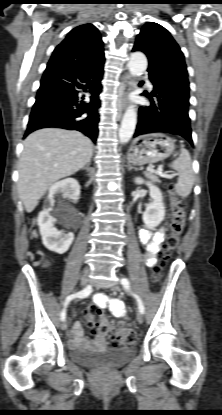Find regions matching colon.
Here are the masks:
<instances>
[{
	"label": "colon",
	"instance_id": "1",
	"mask_svg": "<svg viewBox=\"0 0 222 415\" xmlns=\"http://www.w3.org/2000/svg\"><path fill=\"white\" fill-rule=\"evenodd\" d=\"M173 220L170 224L168 237L165 243L161 261L152 268L153 279L158 280L162 269L172 257L180 243L181 235L185 228L187 216V202L185 198L173 195ZM85 317L92 333L106 334L111 346L118 347L123 344L135 343L139 339L137 330H117L113 328L103 317L101 310L91 305L85 310Z\"/></svg>",
	"mask_w": 222,
	"mask_h": 415
}]
</instances>
